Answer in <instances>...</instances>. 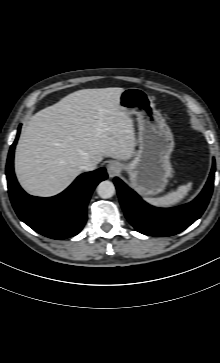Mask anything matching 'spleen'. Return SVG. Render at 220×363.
<instances>
[{"label": "spleen", "instance_id": "spleen-1", "mask_svg": "<svg viewBox=\"0 0 220 363\" xmlns=\"http://www.w3.org/2000/svg\"><path fill=\"white\" fill-rule=\"evenodd\" d=\"M192 188V182L181 185L176 191L170 192L163 197L145 198V201L153 206L166 208L171 207L183 200Z\"/></svg>", "mask_w": 220, "mask_h": 363}]
</instances>
